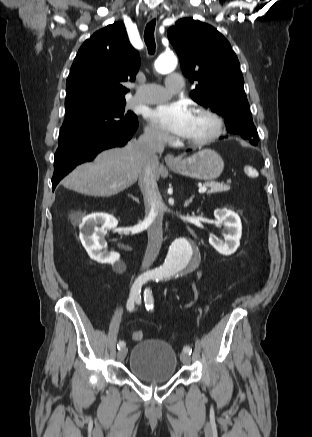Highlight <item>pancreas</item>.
Listing matches in <instances>:
<instances>
[{
  "label": "pancreas",
  "instance_id": "pancreas-1",
  "mask_svg": "<svg viewBox=\"0 0 312 437\" xmlns=\"http://www.w3.org/2000/svg\"><path fill=\"white\" fill-rule=\"evenodd\" d=\"M208 187H210V190L208 191V194H214L219 192H226L230 190L229 184H223V183H216V182H210L206 184Z\"/></svg>",
  "mask_w": 312,
  "mask_h": 437
}]
</instances>
